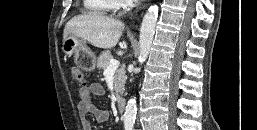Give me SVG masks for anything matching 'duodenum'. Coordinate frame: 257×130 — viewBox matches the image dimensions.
Wrapping results in <instances>:
<instances>
[{"label": "duodenum", "instance_id": "1", "mask_svg": "<svg viewBox=\"0 0 257 130\" xmlns=\"http://www.w3.org/2000/svg\"><path fill=\"white\" fill-rule=\"evenodd\" d=\"M125 107H126V101L124 98H119L117 100V109L119 111V113H123L125 111Z\"/></svg>", "mask_w": 257, "mask_h": 130}]
</instances>
